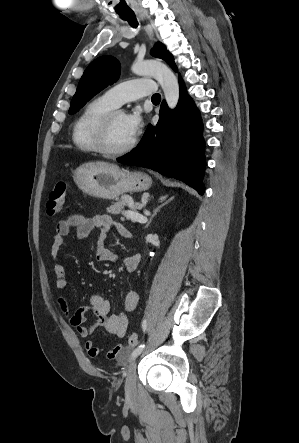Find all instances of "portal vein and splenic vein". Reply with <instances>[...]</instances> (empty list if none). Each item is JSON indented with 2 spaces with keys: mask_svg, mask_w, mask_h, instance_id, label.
<instances>
[{
  "mask_svg": "<svg viewBox=\"0 0 299 443\" xmlns=\"http://www.w3.org/2000/svg\"><path fill=\"white\" fill-rule=\"evenodd\" d=\"M125 214L128 218H130L133 221H137L139 223H146L147 222L146 217H144L143 215H140L138 213H135L133 211H126Z\"/></svg>",
  "mask_w": 299,
  "mask_h": 443,
  "instance_id": "obj_1",
  "label": "portal vein and splenic vein"
}]
</instances>
